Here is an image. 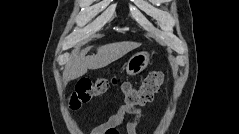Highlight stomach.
<instances>
[{"mask_svg":"<svg viewBox=\"0 0 239 134\" xmlns=\"http://www.w3.org/2000/svg\"><path fill=\"white\" fill-rule=\"evenodd\" d=\"M150 62V54L142 51L134 54L126 64V72L128 75L134 76L142 72Z\"/></svg>","mask_w":239,"mask_h":134,"instance_id":"0dacf381","label":"stomach"}]
</instances>
